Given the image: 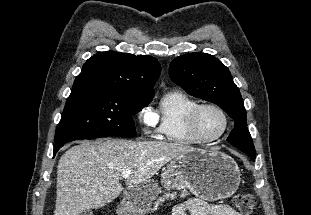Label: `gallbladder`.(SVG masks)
Returning a JSON list of instances; mask_svg holds the SVG:
<instances>
[{
	"mask_svg": "<svg viewBox=\"0 0 311 215\" xmlns=\"http://www.w3.org/2000/svg\"><path fill=\"white\" fill-rule=\"evenodd\" d=\"M80 215H93V212L91 210H88V211L81 213Z\"/></svg>",
	"mask_w": 311,
	"mask_h": 215,
	"instance_id": "obj_1",
	"label": "gallbladder"
}]
</instances>
